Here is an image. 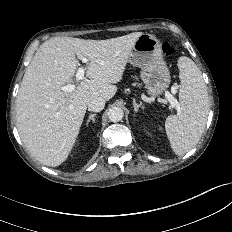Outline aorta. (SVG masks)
I'll return each instance as SVG.
<instances>
[{"label": "aorta", "instance_id": "obj_1", "mask_svg": "<svg viewBox=\"0 0 232 232\" xmlns=\"http://www.w3.org/2000/svg\"><path fill=\"white\" fill-rule=\"evenodd\" d=\"M124 112L120 107H112L108 111V118L112 122H119L122 120Z\"/></svg>", "mask_w": 232, "mask_h": 232}]
</instances>
